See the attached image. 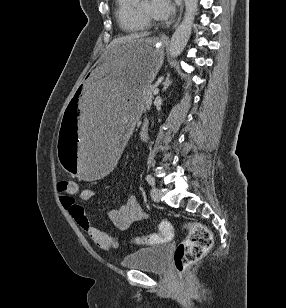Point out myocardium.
<instances>
[{
	"label": "myocardium",
	"instance_id": "myocardium-1",
	"mask_svg": "<svg viewBox=\"0 0 286 308\" xmlns=\"http://www.w3.org/2000/svg\"><path fill=\"white\" fill-rule=\"evenodd\" d=\"M135 11H136V14L139 17V19L142 22H144L147 26H152V25L156 24V20L147 16L143 12H141V10L139 9L138 6L135 7Z\"/></svg>",
	"mask_w": 286,
	"mask_h": 308
}]
</instances>
